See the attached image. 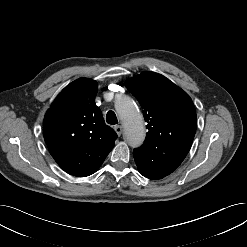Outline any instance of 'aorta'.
<instances>
[{
	"instance_id": "762f6f07",
	"label": "aorta",
	"mask_w": 247,
	"mask_h": 247,
	"mask_svg": "<svg viewBox=\"0 0 247 247\" xmlns=\"http://www.w3.org/2000/svg\"><path fill=\"white\" fill-rule=\"evenodd\" d=\"M116 110L123 122L124 138L133 148L139 147L145 139L144 118L136 103L130 97L116 102Z\"/></svg>"
}]
</instances>
